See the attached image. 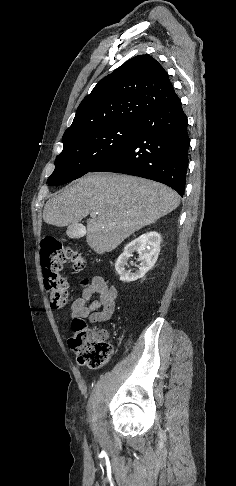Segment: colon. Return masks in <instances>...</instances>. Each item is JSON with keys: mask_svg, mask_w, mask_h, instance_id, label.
<instances>
[{"mask_svg": "<svg viewBox=\"0 0 236 486\" xmlns=\"http://www.w3.org/2000/svg\"><path fill=\"white\" fill-rule=\"evenodd\" d=\"M41 266L45 289L53 309H62L68 303L67 283L59 272L63 264L71 262L75 272L85 269L82 253L70 246H63L54 238L44 240L41 245ZM72 336L69 346L76 353L78 361L91 368H100L110 359L111 345L98 332L90 330L85 321L75 318L71 324Z\"/></svg>", "mask_w": 236, "mask_h": 486, "instance_id": "colon-1", "label": "colon"}]
</instances>
